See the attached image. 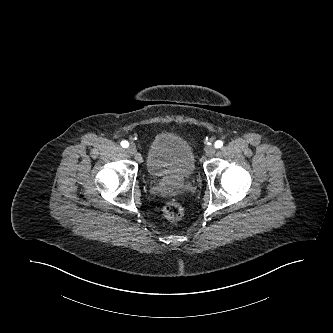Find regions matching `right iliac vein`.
Wrapping results in <instances>:
<instances>
[{"label":"right iliac vein","instance_id":"right-iliac-vein-1","mask_svg":"<svg viewBox=\"0 0 333 333\" xmlns=\"http://www.w3.org/2000/svg\"><path fill=\"white\" fill-rule=\"evenodd\" d=\"M127 152H128L130 155H135L136 152H137L136 146H135L134 144H130V145L127 147Z\"/></svg>","mask_w":333,"mask_h":333}]
</instances>
